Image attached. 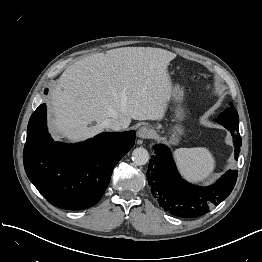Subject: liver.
<instances>
[{
	"label": "liver",
	"instance_id": "6515ba94",
	"mask_svg": "<svg viewBox=\"0 0 262 262\" xmlns=\"http://www.w3.org/2000/svg\"><path fill=\"white\" fill-rule=\"evenodd\" d=\"M175 57L161 48L122 47L75 62L51 92L52 129L81 140L102 132L108 119L128 126L131 119L161 120L172 92L167 67Z\"/></svg>",
	"mask_w": 262,
	"mask_h": 262
}]
</instances>
